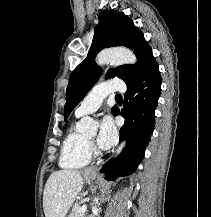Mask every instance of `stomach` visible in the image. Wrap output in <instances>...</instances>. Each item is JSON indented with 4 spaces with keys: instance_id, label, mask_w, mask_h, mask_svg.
Returning <instances> with one entry per match:
<instances>
[{
    "instance_id": "1",
    "label": "stomach",
    "mask_w": 211,
    "mask_h": 217,
    "mask_svg": "<svg viewBox=\"0 0 211 217\" xmlns=\"http://www.w3.org/2000/svg\"><path fill=\"white\" fill-rule=\"evenodd\" d=\"M95 177H96L95 173L85 172V174H84V178L88 183H90L92 180H94Z\"/></svg>"
}]
</instances>
